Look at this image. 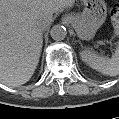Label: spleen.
<instances>
[{"instance_id": "1", "label": "spleen", "mask_w": 119, "mask_h": 119, "mask_svg": "<svg viewBox=\"0 0 119 119\" xmlns=\"http://www.w3.org/2000/svg\"><path fill=\"white\" fill-rule=\"evenodd\" d=\"M81 59L92 69L107 76L119 74V45L110 59L99 56L92 50H85L81 53Z\"/></svg>"}]
</instances>
